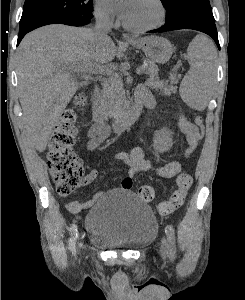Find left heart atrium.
Segmentation results:
<instances>
[{"label":"left heart atrium","mask_w":245,"mask_h":300,"mask_svg":"<svg viewBox=\"0 0 245 300\" xmlns=\"http://www.w3.org/2000/svg\"><path fill=\"white\" fill-rule=\"evenodd\" d=\"M122 3L124 4V7H123L122 12H121V18H124V14H125V10H126V5H127L128 2H122Z\"/></svg>","instance_id":"39dd6f15"}]
</instances>
